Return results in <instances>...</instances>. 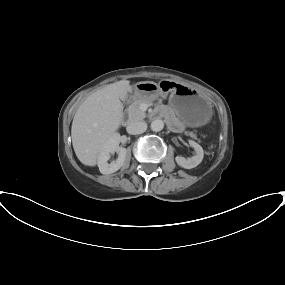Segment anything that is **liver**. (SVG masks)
<instances>
[{
  "mask_svg": "<svg viewBox=\"0 0 285 285\" xmlns=\"http://www.w3.org/2000/svg\"><path fill=\"white\" fill-rule=\"evenodd\" d=\"M130 81L121 80L88 96L79 106L71 128L72 144L77 158L87 166H95L100 151L116 134L123 118V104Z\"/></svg>",
  "mask_w": 285,
  "mask_h": 285,
  "instance_id": "obj_1",
  "label": "liver"
}]
</instances>
